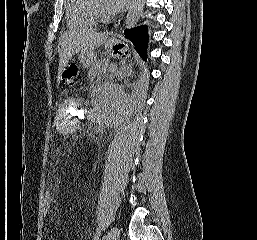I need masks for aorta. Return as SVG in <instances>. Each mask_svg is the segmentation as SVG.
<instances>
[{
    "mask_svg": "<svg viewBox=\"0 0 257 240\" xmlns=\"http://www.w3.org/2000/svg\"><path fill=\"white\" fill-rule=\"evenodd\" d=\"M145 0H132L125 19L126 28H133L142 15Z\"/></svg>",
    "mask_w": 257,
    "mask_h": 240,
    "instance_id": "762f6f07",
    "label": "aorta"
}]
</instances>
